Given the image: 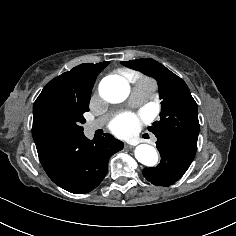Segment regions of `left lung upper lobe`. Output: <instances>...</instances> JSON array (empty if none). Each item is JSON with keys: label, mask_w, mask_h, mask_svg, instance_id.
<instances>
[{"label": "left lung upper lobe", "mask_w": 236, "mask_h": 236, "mask_svg": "<svg viewBox=\"0 0 236 236\" xmlns=\"http://www.w3.org/2000/svg\"><path fill=\"white\" fill-rule=\"evenodd\" d=\"M126 67L155 78L162 101L160 120L148 127L157 138L172 135L197 141L199 121L197 104L186 83L154 59L122 61Z\"/></svg>", "instance_id": "1"}]
</instances>
